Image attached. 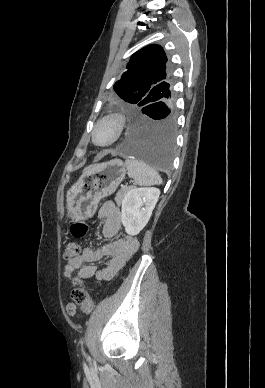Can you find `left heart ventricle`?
Segmentation results:
<instances>
[{"instance_id": "b2bd125f", "label": "left heart ventricle", "mask_w": 265, "mask_h": 388, "mask_svg": "<svg viewBox=\"0 0 265 388\" xmlns=\"http://www.w3.org/2000/svg\"><path fill=\"white\" fill-rule=\"evenodd\" d=\"M108 137V132L105 128H102L98 131L97 139L99 142L104 141Z\"/></svg>"}]
</instances>
